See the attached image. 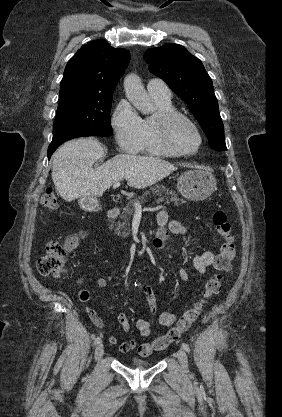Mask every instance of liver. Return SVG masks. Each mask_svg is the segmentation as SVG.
<instances>
[{"label": "liver", "mask_w": 282, "mask_h": 417, "mask_svg": "<svg viewBox=\"0 0 282 417\" xmlns=\"http://www.w3.org/2000/svg\"><path fill=\"white\" fill-rule=\"evenodd\" d=\"M104 148L96 138H75L58 148L52 166L53 182L64 200L79 196H102L114 182L126 178L129 186L146 188L169 176L177 166L159 156L116 154L92 168Z\"/></svg>", "instance_id": "obj_1"}]
</instances>
